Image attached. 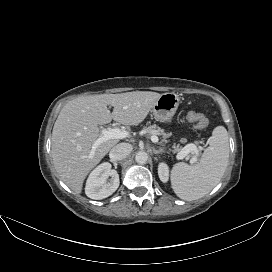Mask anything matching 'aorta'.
<instances>
[{
	"mask_svg": "<svg viewBox=\"0 0 272 272\" xmlns=\"http://www.w3.org/2000/svg\"><path fill=\"white\" fill-rule=\"evenodd\" d=\"M148 160V154L145 151H139L135 155V161L139 164H145Z\"/></svg>",
	"mask_w": 272,
	"mask_h": 272,
	"instance_id": "762f6f07",
	"label": "aorta"
}]
</instances>
